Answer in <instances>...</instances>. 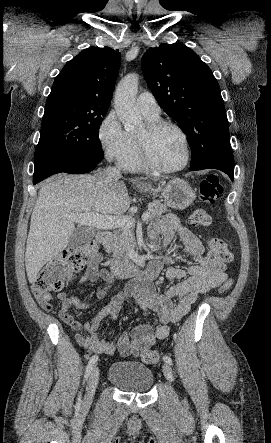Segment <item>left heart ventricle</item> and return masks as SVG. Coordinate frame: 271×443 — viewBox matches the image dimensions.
<instances>
[{
  "mask_svg": "<svg viewBox=\"0 0 271 443\" xmlns=\"http://www.w3.org/2000/svg\"><path fill=\"white\" fill-rule=\"evenodd\" d=\"M143 131L144 129L141 133ZM151 152L155 161L163 167L178 166L186 157V148L182 136L177 130L170 127L161 129L153 136Z\"/></svg>",
  "mask_w": 271,
  "mask_h": 443,
  "instance_id": "1",
  "label": "left heart ventricle"
}]
</instances>
